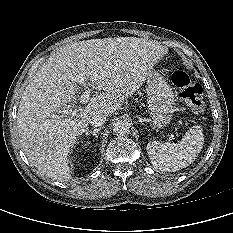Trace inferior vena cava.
<instances>
[{"mask_svg": "<svg viewBox=\"0 0 233 233\" xmlns=\"http://www.w3.org/2000/svg\"><path fill=\"white\" fill-rule=\"evenodd\" d=\"M106 120L107 116L102 112H94L88 117V123L96 128L101 127Z\"/></svg>", "mask_w": 233, "mask_h": 233, "instance_id": "inferior-vena-cava-1", "label": "inferior vena cava"}]
</instances>
